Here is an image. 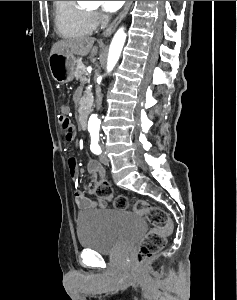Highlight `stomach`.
<instances>
[{"mask_svg": "<svg viewBox=\"0 0 237 300\" xmlns=\"http://www.w3.org/2000/svg\"><path fill=\"white\" fill-rule=\"evenodd\" d=\"M49 69L54 81L57 83H70L74 79L76 59L70 53H53L48 59Z\"/></svg>", "mask_w": 237, "mask_h": 300, "instance_id": "1", "label": "stomach"}]
</instances>
